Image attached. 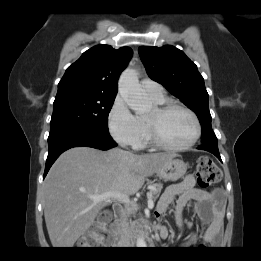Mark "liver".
Here are the masks:
<instances>
[{"label": "liver", "mask_w": 261, "mask_h": 261, "mask_svg": "<svg viewBox=\"0 0 261 261\" xmlns=\"http://www.w3.org/2000/svg\"><path fill=\"white\" fill-rule=\"evenodd\" d=\"M174 154L137 155L122 149L106 152L74 147L56 160L43 183L44 217L55 248H72L110 200L94 201L89 195L137 193Z\"/></svg>", "instance_id": "obj_1"}]
</instances>
